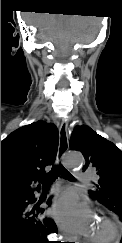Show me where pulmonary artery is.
<instances>
[{
  "instance_id": "e3ab8cb5",
  "label": "pulmonary artery",
  "mask_w": 122,
  "mask_h": 243,
  "mask_svg": "<svg viewBox=\"0 0 122 243\" xmlns=\"http://www.w3.org/2000/svg\"><path fill=\"white\" fill-rule=\"evenodd\" d=\"M77 174L80 182H86L93 179V174L91 172H78Z\"/></svg>"
}]
</instances>
